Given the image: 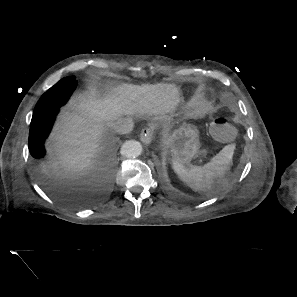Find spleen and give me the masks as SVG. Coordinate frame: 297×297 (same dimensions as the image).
<instances>
[{"instance_id":"3e777b00","label":"spleen","mask_w":297,"mask_h":297,"mask_svg":"<svg viewBox=\"0 0 297 297\" xmlns=\"http://www.w3.org/2000/svg\"><path fill=\"white\" fill-rule=\"evenodd\" d=\"M235 145L225 146L210 162L204 166L186 168L184 165L173 162V169L178 177L192 190L201 193L217 191L226 181L225 175L232 161Z\"/></svg>"}]
</instances>
